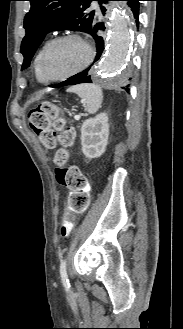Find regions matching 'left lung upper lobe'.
Instances as JSON below:
<instances>
[{
    "instance_id": "obj_1",
    "label": "left lung upper lobe",
    "mask_w": 183,
    "mask_h": 329,
    "mask_svg": "<svg viewBox=\"0 0 183 329\" xmlns=\"http://www.w3.org/2000/svg\"><path fill=\"white\" fill-rule=\"evenodd\" d=\"M31 9L24 19L26 35L21 43L24 56L22 70L30 65L36 49L50 31H81L89 33L94 21L95 11L85 10L92 1L105 3L106 0H28Z\"/></svg>"
}]
</instances>
